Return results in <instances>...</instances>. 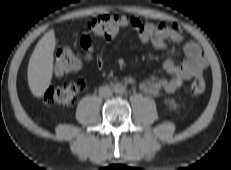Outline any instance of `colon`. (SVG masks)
<instances>
[{
	"mask_svg": "<svg viewBox=\"0 0 231 170\" xmlns=\"http://www.w3.org/2000/svg\"><path fill=\"white\" fill-rule=\"evenodd\" d=\"M132 25V17L105 14L91 19L88 23V31L99 37L112 38L122 28ZM81 61L79 57L68 47H62L57 50L54 64V72L58 76H64L80 68ZM83 81L63 84L58 87L49 88L43 95V101L49 104H56L62 107H69L76 102L80 94L84 91ZM206 89V83L203 78H196L190 91L194 95L202 94Z\"/></svg>",
	"mask_w": 231,
	"mask_h": 170,
	"instance_id": "obj_1",
	"label": "colon"
}]
</instances>
